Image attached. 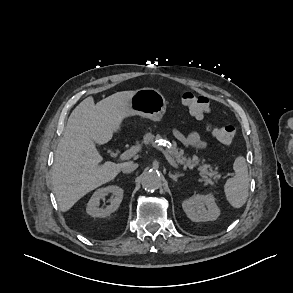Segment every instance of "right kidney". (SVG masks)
<instances>
[{"label": "right kidney", "instance_id": "right-kidney-1", "mask_svg": "<svg viewBox=\"0 0 293 293\" xmlns=\"http://www.w3.org/2000/svg\"><path fill=\"white\" fill-rule=\"evenodd\" d=\"M113 194V199H111L110 205L105 208H100L99 203L101 199H104L108 194ZM123 199V189L118 186H107L105 188H100L94 192L91 199L87 204V213L93 217H107L114 211L118 209L120 203Z\"/></svg>", "mask_w": 293, "mask_h": 293}]
</instances>
